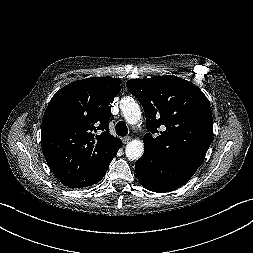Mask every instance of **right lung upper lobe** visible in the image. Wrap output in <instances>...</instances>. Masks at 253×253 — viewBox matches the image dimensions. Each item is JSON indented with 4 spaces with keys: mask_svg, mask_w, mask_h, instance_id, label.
<instances>
[{
    "mask_svg": "<svg viewBox=\"0 0 253 253\" xmlns=\"http://www.w3.org/2000/svg\"><path fill=\"white\" fill-rule=\"evenodd\" d=\"M121 83L112 77L78 80L50 100L42 119L41 143L59 180L84 179L115 157L122 142L109 133L108 121Z\"/></svg>",
    "mask_w": 253,
    "mask_h": 253,
    "instance_id": "right-lung-upper-lobe-1",
    "label": "right lung upper lobe"
}]
</instances>
